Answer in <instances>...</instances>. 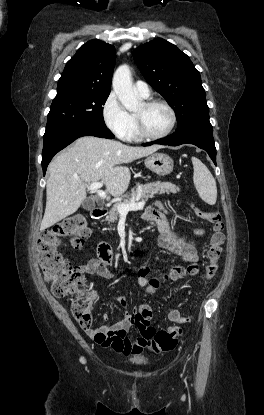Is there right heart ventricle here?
<instances>
[{"label": "right heart ventricle", "mask_w": 264, "mask_h": 415, "mask_svg": "<svg viewBox=\"0 0 264 415\" xmlns=\"http://www.w3.org/2000/svg\"><path fill=\"white\" fill-rule=\"evenodd\" d=\"M132 118V128L128 134V136L125 138V140L127 141H138L140 139V137L137 134L136 131V122H135V118L133 115H131Z\"/></svg>", "instance_id": "e07e8e85"}]
</instances>
